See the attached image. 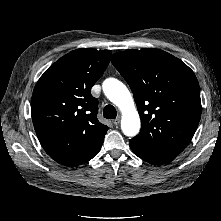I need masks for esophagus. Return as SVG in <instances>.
Returning <instances> with one entry per match:
<instances>
[{
	"label": "esophagus",
	"mask_w": 221,
	"mask_h": 221,
	"mask_svg": "<svg viewBox=\"0 0 221 221\" xmlns=\"http://www.w3.org/2000/svg\"><path fill=\"white\" fill-rule=\"evenodd\" d=\"M120 123V117H117L116 119L113 120V124L117 126Z\"/></svg>",
	"instance_id": "1"
}]
</instances>
